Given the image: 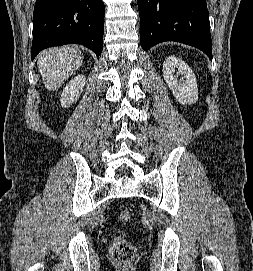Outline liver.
<instances>
[{
  "label": "liver",
  "instance_id": "liver-1",
  "mask_svg": "<svg viewBox=\"0 0 253 271\" xmlns=\"http://www.w3.org/2000/svg\"><path fill=\"white\" fill-rule=\"evenodd\" d=\"M83 57L77 46L50 48L39 55L38 68L45 87L56 90L77 70Z\"/></svg>",
  "mask_w": 253,
  "mask_h": 271
}]
</instances>
